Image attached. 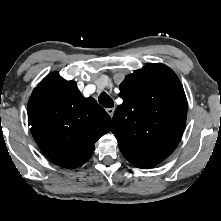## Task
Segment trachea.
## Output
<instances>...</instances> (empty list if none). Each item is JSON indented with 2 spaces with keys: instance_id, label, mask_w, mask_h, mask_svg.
Instances as JSON below:
<instances>
[{
  "instance_id": "3493384b",
  "label": "trachea",
  "mask_w": 221,
  "mask_h": 221,
  "mask_svg": "<svg viewBox=\"0 0 221 221\" xmlns=\"http://www.w3.org/2000/svg\"><path fill=\"white\" fill-rule=\"evenodd\" d=\"M98 100H99V103L106 108H112L114 106L113 100L106 92H102L99 95Z\"/></svg>"
}]
</instances>
